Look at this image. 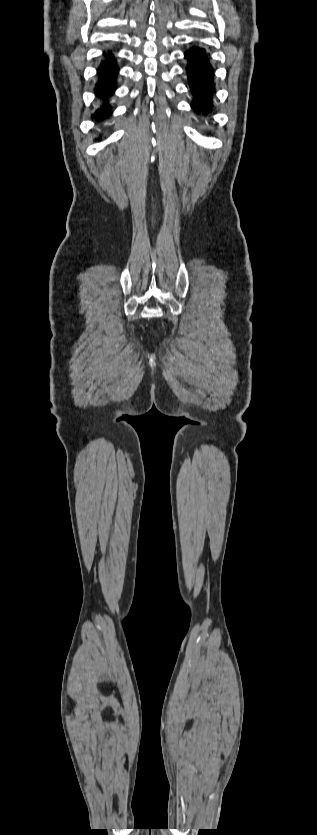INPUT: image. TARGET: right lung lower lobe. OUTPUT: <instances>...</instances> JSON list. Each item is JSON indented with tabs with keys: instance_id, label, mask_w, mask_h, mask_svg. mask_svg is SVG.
<instances>
[{
	"instance_id": "1",
	"label": "right lung lower lobe",
	"mask_w": 317,
	"mask_h": 835,
	"mask_svg": "<svg viewBox=\"0 0 317 835\" xmlns=\"http://www.w3.org/2000/svg\"><path fill=\"white\" fill-rule=\"evenodd\" d=\"M108 54L109 55L104 53L106 59L98 68L99 81L95 89L96 96L101 101V106L94 112V114L91 115L92 119L100 122L109 118L111 114V107L109 106L107 99L115 91V78L118 73V67L116 61L114 60V55L111 54V51H108Z\"/></svg>"
}]
</instances>
